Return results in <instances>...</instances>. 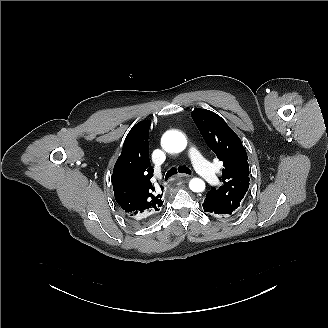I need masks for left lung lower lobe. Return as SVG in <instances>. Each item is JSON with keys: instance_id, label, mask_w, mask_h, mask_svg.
<instances>
[{"instance_id": "left-lung-lower-lobe-1", "label": "left lung lower lobe", "mask_w": 328, "mask_h": 328, "mask_svg": "<svg viewBox=\"0 0 328 328\" xmlns=\"http://www.w3.org/2000/svg\"><path fill=\"white\" fill-rule=\"evenodd\" d=\"M202 206L204 211L208 212L211 215H223V216L228 215L226 212L218 208L216 205H214L210 200L206 198Z\"/></svg>"}]
</instances>
